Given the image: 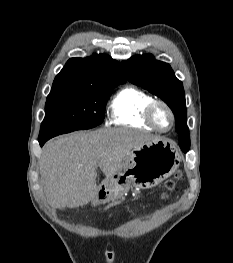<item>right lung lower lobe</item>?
I'll return each mask as SVG.
<instances>
[{
  "instance_id": "obj_1",
  "label": "right lung lower lobe",
  "mask_w": 233,
  "mask_h": 263,
  "mask_svg": "<svg viewBox=\"0 0 233 263\" xmlns=\"http://www.w3.org/2000/svg\"><path fill=\"white\" fill-rule=\"evenodd\" d=\"M46 141H47L46 139H44V140H39L40 146H43Z\"/></svg>"
}]
</instances>
